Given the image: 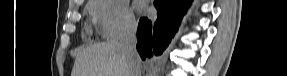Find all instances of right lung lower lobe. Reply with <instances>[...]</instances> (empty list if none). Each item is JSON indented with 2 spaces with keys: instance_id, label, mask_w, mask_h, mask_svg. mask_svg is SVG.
Listing matches in <instances>:
<instances>
[{
  "instance_id": "1",
  "label": "right lung lower lobe",
  "mask_w": 287,
  "mask_h": 76,
  "mask_svg": "<svg viewBox=\"0 0 287 76\" xmlns=\"http://www.w3.org/2000/svg\"><path fill=\"white\" fill-rule=\"evenodd\" d=\"M191 0H155L157 20L151 22L147 18L139 21L137 30V50L142 58H151L162 54L169 45Z\"/></svg>"
}]
</instances>
